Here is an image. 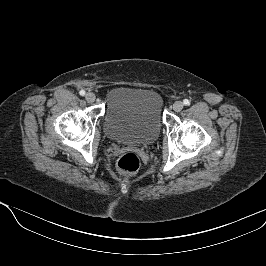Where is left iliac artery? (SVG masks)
Instances as JSON below:
<instances>
[{
    "label": "left iliac artery",
    "mask_w": 266,
    "mask_h": 266,
    "mask_svg": "<svg viewBox=\"0 0 266 266\" xmlns=\"http://www.w3.org/2000/svg\"><path fill=\"white\" fill-rule=\"evenodd\" d=\"M183 103H184V105H186V106H187V105H189V104H190V101H189L188 99H184V100H183Z\"/></svg>",
    "instance_id": "1"
}]
</instances>
